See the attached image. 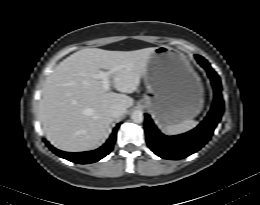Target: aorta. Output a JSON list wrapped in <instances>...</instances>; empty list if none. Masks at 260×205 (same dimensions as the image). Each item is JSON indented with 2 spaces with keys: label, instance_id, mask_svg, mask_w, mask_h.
<instances>
[{
  "label": "aorta",
  "instance_id": "aorta-1",
  "mask_svg": "<svg viewBox=\"0 0 260 205\" xmlns=\"http://www.w3.org/2000/svg\"><path fill=\"white\" fill-rule=\"evenodd\" d=\"M131 119L135 123H142L143 122V112L140 110H135L131 115Z\"/></svg>",
  "mask_w": 260,
  "mask_h": 205
}]
</instances>
